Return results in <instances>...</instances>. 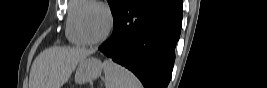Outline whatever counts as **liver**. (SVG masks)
Listing matches in <instances>:
<instances>
[{
	"mask_svg": "<svg viewBox=\"0 0 267 88\" xmlns=\"http://www.w3.org/2000/svg\"><path fill=\"white\" fill-rule=\"evenodd\" d=\"M92 53V50L68 47L44 50L32 64L29 88H61L77 64Z\"/></svg>",
	"mask_w": 267,
	"mask_h": 88,
	"instance_id": "obj_1",
	"label": "liver"
}]
</instances>
